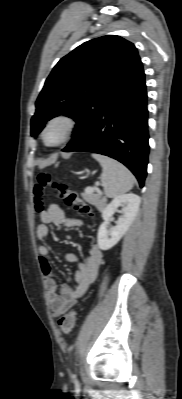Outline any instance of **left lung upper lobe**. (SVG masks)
<instances>
[{"label":"left lung upper lobe","mask_w":182,"mask_h":399,"mask_svg":"<svg viewBox=\"0 0 182 399\" xmlns=\"http://www.w3.org/2000/svg\"><path fill=\"white\" fill-rule=\"evenodd\" d=\"M135 46L115 35L83 43L60 59L46 79L36 101L31 135L46 121L64 114L76 121L72 141L79 138L109 99L141 71Z\"/></svg>","instance_id":"1"}]
</instances>
